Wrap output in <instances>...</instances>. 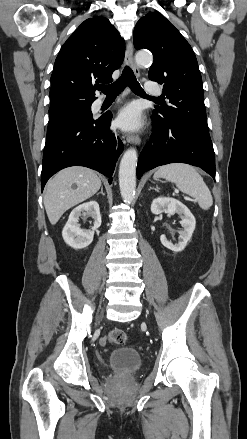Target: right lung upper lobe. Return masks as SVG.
Listing matches in <instances>:
<instances>
[{
  "label": "right lung upper lobe",
  "mask_w": 247,
  "mask_h": 439,
  "mask_svg": "<svg viewBox=\"0 0 247 439\" xmlns=\"http://www.w3.org/2000/svg\"><path fill=\"white\" fill-rule=\"evenodd\" d=\"M125 54L124 40L103 17L85 20L62 46L51 75L50 111L96 99L93 83L112 82Z\"/></svg>",
  "instance_id": "1"
}]
</instances>
